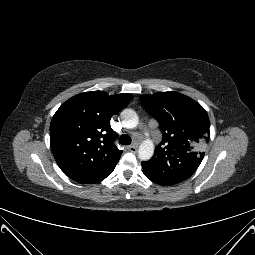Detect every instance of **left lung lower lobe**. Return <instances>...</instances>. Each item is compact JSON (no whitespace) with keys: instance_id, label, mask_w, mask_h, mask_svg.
<instances>
[{"instance_id":"obj_1","label":"left lung lower lobe","mask_w":255,"mask_h":255,"mask_svg":"<svg viewBox=\"0 0 255 255\" xmlns=\"http://www.w3.org/2000/svg\"><path fill=\"white\" fill-rule=\"evenodd\" d=\"M154 182V181H153ZM155 183H157V184H159V185H166L165 183H161V182H155Z\"/></svg>"}]
</instances>
